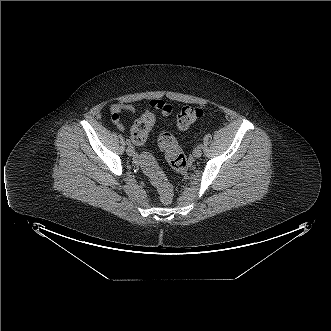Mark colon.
<instances>
[{
    "label": "colon",
    "mask_w": 331,
    "mask_h": 331,
    "mask_svg": "<svg viewBox=\"0 0 331 331\" xmlns=\"http://www.w3.org/2000/svg\"><path fill=\"white\" fill-rule=\"evenodd\" d=\"M202 116L203 111L199 107L185 106L177 114V125L182 129L188 128ZM154 123L155 115L153 113L145 112L142 114L135 121L132 128L133 142L138 145L143 144L147 140ZM158 145L164 152L172 169L184 171L187 168V157L171 133H161L158 137ZM140 164L144 174L158 190L160 203L169 204L173 199V188L155 159L150 154L143 153L140 157Z\"/></svg>",
    "instance_id": "1"
}]
</instances>
